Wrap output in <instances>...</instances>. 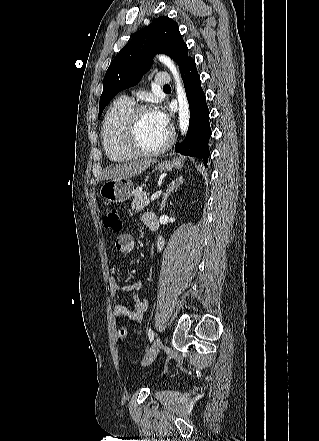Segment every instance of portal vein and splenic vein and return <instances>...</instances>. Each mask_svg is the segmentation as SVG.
Instances as JSON below:
<instances>
[{"instance_id": "obj_1", "label": "portal vein and splenic vein", "mask_w": 319, "mask_h": 441, "mask_svg": "<svg viewBox=\"0 0 319 441\" xmlns=\"http://www.w3.org/2000/svg\"><path fill=\"white\" fill-rule=\"evenodd\" d=\"M161 194H162V190H159L158 192L154 193V194L151 196V200H152V201L156 200L157 198H159V196H160Z\"/></svg>"}]
</instances>
